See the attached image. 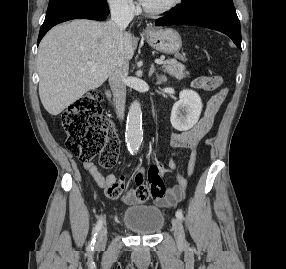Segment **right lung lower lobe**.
<instances>
[{"label": "right lung lower lobe", "instance_id": "98d812e1", "mask_svg": "<svg viewBox=\"0 0 286 269\" xmlns=\"http://www.w3.org/2000/svg\"><path fill=\"white\" fill-rule=\"evenodd\" d=\"M105 13L91 11V10H73L69 12H65L59 15H55L49 18H45L43 25L41 26L39 37H38V44L53 26L56 24L72 20V19H92V20H99L102 21L106 19Z\"/></svg>", "mask_w": 286, "mask_h": 269}]
</instances>
